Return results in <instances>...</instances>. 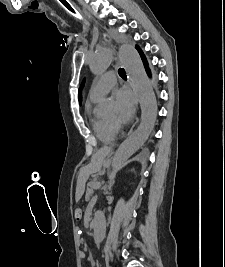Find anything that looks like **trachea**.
Here are the masks:
<instances>
[{
  "mask_svg": "<svg viewBox=\"0 0 225 267\" xmlns=\"http://www.w3.org/2000/svg\"><path fill=\"white\" fill-rule=\"evenodd\" d=\"M118 72H119V75H120L121 77H125V76H126V72H125V70H124L123 68H120V69L118 70Z\"/></svg>",
  "mask_w": 225,
  "mask_h": 267,
  "instance_id": "trachea-1",
  "label": "trachea"
}]
</instances>
